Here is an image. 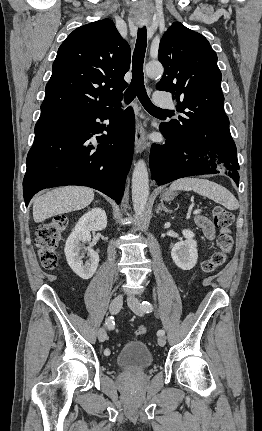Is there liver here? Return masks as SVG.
I'll return each instance as SVG.
<instances>
[{
    "label": "liver",
    "mask_w": 262,
    "mask_h": 431,
    "mask_svg": "<svg viewBox=\"0 0 262 431\" xmlns=\"http://www.w3.org/2000/svg\"><path fill=\"white\" fill-rule=\"evenodd\" d=\"M94 199L92 189L80 186H67L53 189L33 201V219L36 223L55 215L81 210Z\"/></svg>",
    "instance_id": "6515ba94"
}]
</instances>
